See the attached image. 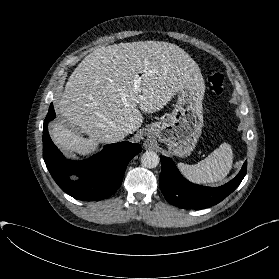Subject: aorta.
I'll return each instance as SVG.
<instances>
[{"label": "aorta", "instance_id": "1", "mask_svg": "<svg viewBox=\"0 0 279 279\" xmlns=\"http://www.w3.org/2000/svg\"><path fill=\"white\" fill-rule=\"evenodd\" d=\"M160 162V158L156 152L146 151L141 156V163L146 168H155Z\"/></svg>", "mask_w": 279, "mask_h": 279}]
</instances>
